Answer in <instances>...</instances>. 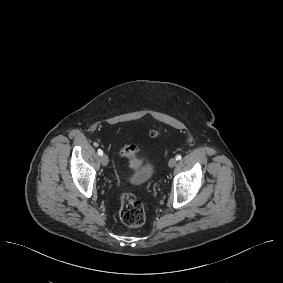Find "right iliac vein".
<instances>
[{"label":"right iliac vein","mask_w":283,"mask_h":283,"mask_svg":"<svg viewBox=\"0 0 283 283\" xmlns=\"http://www.w3.org/2000/svg\"><path fill=\"white\" fill-rule=\"evenodd\" d=\"M101 164L103 165V166H107V164H108V157H107V155L106 154H103L102 156H101Z\"/></svg>","instance_id":"right-iliac-vein-1"}]
</instances>
